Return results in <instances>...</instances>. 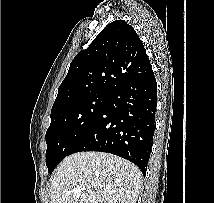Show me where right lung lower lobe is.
I'll return each mask as SVG.
<instances>
[{
	"mask_svg": "<svg viewBox=\"0 0 214 203\" xmlns=\"http://www.w3.org/2000/svg\"><path fill=\"white\" fill-rule=\"evenodd\" d=\"M157 83L151 69L120 86L69 155L82 151L108 152L136 164L146 175L155 130Z\"/></svg>",
	"mask_w": 214,
	"mask_h": 203,
	"instance_id": "obj_1",
	"label": "right lung lower lobe"
}]
</instances>
